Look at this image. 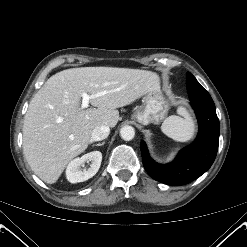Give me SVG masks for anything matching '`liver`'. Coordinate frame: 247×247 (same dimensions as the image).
Wrapping results in <instances>:
<instances>
[{"instance_id":"6515ba94","label":"liver","mask_w":247,"mask_h":247,"mask_svg":"<svg viewBox=\"0 0 247 247\" xmlns=\"http://www.w3.org/2000/svg\"><path fill=\"white\" fill-rule=\"evenodd\" d=\"M159 86L155 72L116 67H81L51 76L30 101L23 124V151L32 171L55 183L66 165L85 151L95 127H115L117 108ZM105 92L83 109L81 97ZM97 107V108H95Z\"/></svg>"}]
</instances>
